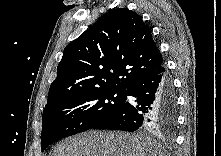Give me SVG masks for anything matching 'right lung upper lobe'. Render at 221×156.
Here are the masks:
<instances>
[{
    "label": "right lung upper lobe",
    "instance_id": "1",
    "mask_svg": "<svg viewBox=\"0 0 221 156\" xmlns=\"http://www.w3.org/2000/svg\"><path fill=\"white\" fill-rule=\"evenodd\" d=\"M162 65L142 17L127 8L111 10L66 46L45 108L81 92L126 91Z\"/></svg>",
    "mask_w": 221,
    "mask_h": 156
}]
</instances>
